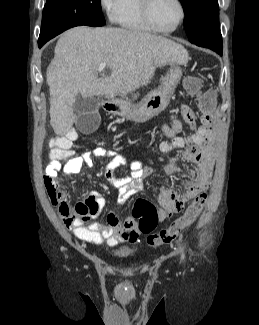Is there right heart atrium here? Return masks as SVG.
<instances>
[{
	"label": "right heart atrium",
	"mask_w": 259,
	"mask_h": 325,
	"mask_svg": "<svg viewBox=\"0 0 259 325\" xmlns=\"http://www.w3.org/2000/svg\"><path fill=\"white\" fill-rule=\"evenodd\" d=\"M99 4L108 17L113 18L117 11L119 0H99Z\"/></svg>",
	"instance_id": "1"
}]
</instances>
